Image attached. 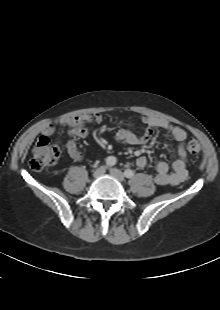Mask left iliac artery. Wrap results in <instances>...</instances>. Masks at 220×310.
Listing matches in <instances>:
<instances>
[{
  "label": "left iliac artery",
  "instance_id": "1",
  "mask_svg": "<svg viewBox=\"0 0 220 310\" xmlns=\"http://www.w3.org/2000/svg\"><path fill=\"white\" fill-rule=\"evenodd\" d=\"M124 175H125L127 178H132V177L134 176V171H133V170H130V169H127V170H125Z\"/></svg>",
  "mask_w": 220,
  "mask_h": 310
}]
</instances>
